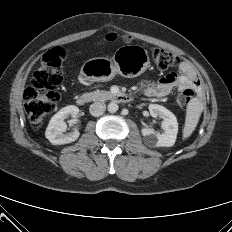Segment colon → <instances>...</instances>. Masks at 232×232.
<instances>
[{
  "label": "colon",
  "mask_w": 232,
  "mask_h": 232,
  "mask_svg": "<svg viewBox=\"0 0 232 232\" xmlns=\"http://www.w3.org/2000/svg\"><path fill=\"white\" fill-rule=\"evenodd\" d=\"M124 40L128 43L131 39L125 37ZM151 54L154 63L160 69H168L178 63V57L166 49L153 47ZM65 57L66 52L61 47L49 50L34 72L31 84L24 93V107L30 124L34 128H38L44 119L55 110L59 98L58 89L63 79ZM193 94L191 89H183L177 97L178 105L186 108Z\"/></svg>",
  "instance_id": "5ec220e1"
}]
</instances>
